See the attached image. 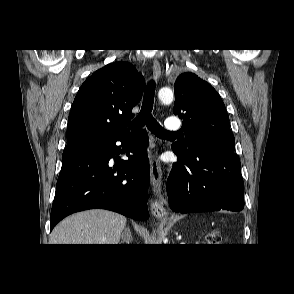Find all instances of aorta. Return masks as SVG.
<instances>
[{"label":"aorta","instance_id":"obj_1","mask_svg":"<svg viewBox=\"0 0 294 294\" xmlns=\"http://www.w3.org/2000/svg\"><path fill=\"white\" fill-rule=\"evenodd\" d=\"M158 97L162 103L170 104L173 101L174 93L170 88H161Z\"/></svg>","mask_w":294,"mask_h":294}]
</instances>
